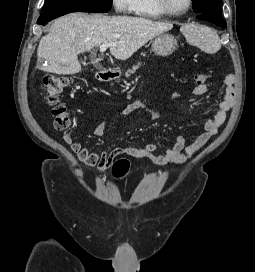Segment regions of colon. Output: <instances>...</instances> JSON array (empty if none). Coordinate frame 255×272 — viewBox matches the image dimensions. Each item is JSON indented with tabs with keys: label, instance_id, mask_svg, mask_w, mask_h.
<instances>
[{
	"label": "colon",
	"instance_id": "5ec220e1",
	"mask_svg": "<svg viewBox=\"0 0 255 272\" xmlns=\"http://www.w3.org/2000/svg\"><path fill=\"white\" fill-rule=\"evenodd\" d=\"M194 79L197 84H204L208 79V75L206 73H197ZM71 83V77L55 74L45 76L41 83L46 100L52 106L54 127L59 131H66L71 124L68 110L65 106L59 104V97ZM128 169L129 162L120 159L114 163L112 172L115 177H122L128 172Z\"/></svg>",
	"mask_w": 255,
	"mask_h": 272
}]
</instances>
